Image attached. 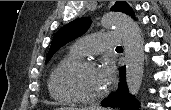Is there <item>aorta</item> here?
I'll list each match as a JSON object with an SVG mask.
<instances>
[{"label":"aorta","instance_id":"aorta-1","mask_svg":"<svg viewBox=\"0 0 171 110\" xmlns=\"http://www.w3.org/2000/svg\"><path fill=\"white\" fill-rule=\"evenodd\" d=\"M104 28L115 29L122 37L126 57V84L131 95H137L144 73V45L136 22L125 14L109 13L102 17Z\"/></svg>","mask_w":171,"mask_h":110}]
</instances>
